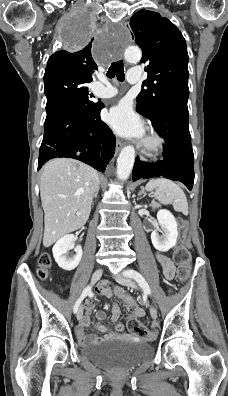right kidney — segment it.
I'll return each mask as SVG.
<instances>
[{"label": "right kidney", "instance_id": "ca27d5eb", "mask_svg": "<svg viewBox=\"0 0 228 396\" xmlns=\"http://www.w3.org/2000/svg\"><path fill=\"white\" fill-rule=\"evenodd\" d=\"M75 236L73 234H67L60 238L53 246L52 252L53 257L60 268L66 271L75 269L82 258V248L80 245L74 247ZM74 249L75 255L70 257L68 251Z\"/></svg>", "mask_w": 228, "mask_h": 396}]
</instances>
